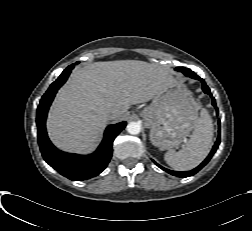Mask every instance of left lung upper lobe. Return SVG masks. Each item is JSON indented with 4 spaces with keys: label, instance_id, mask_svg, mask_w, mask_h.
<instances>
[{
    "label": "left lung upper lobe",
    "instance_id": "1",
    "mask_svg": "<svg viewBox=\"0 0 252 231\" xmlns=\"http://www.w3.org/2000/svg\"><path fill=\"white\" fill-rule=\"evenodd\" d=\"M184 69H186V68H185V67H177V68H176V70H177V71H180V72H181L182 70H184Z\"/></svg>",
    "mask_w": 252,
    "mask_h": 231
}]
</instances>
